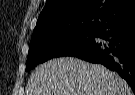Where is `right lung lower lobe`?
<instances>
[{"label": "right lung lower lobe", "instance_id": "98d812e1", "mask_svg": "<svg viewBox=\"0 0 135 95\" xmlns=\"http://www.w3.org/2000/svg\"><path fill=\"white\" fill-rule=\"evenodd\" d=\"M72 56L118 72L135 93V15L109 20L95 31L92 43Z\"/></svg>", "mask_w": 135, "mask_h": 95}]
</instances>
